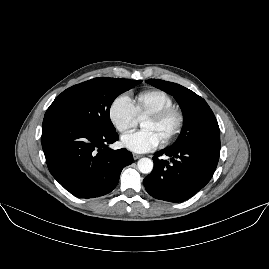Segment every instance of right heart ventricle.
I'll use <instances>...</instances> for the list:
<instances>
[{"instance_id": "e07e8e85", "label": "right heart ventricle", "mask_w": 269, "mask_h": 269, "mask_svg": "<svg viewBox=\"0 0 269 269\" xmlns=\"http://www.w3.org/2000/svg\"><path fill=\"white\" fill-rule=\"evenodd\" d=\"M133 105L138 119H141L155 110L173 106L174 101L167 92L155 89L139 94Z\"/></svg>"}]
</instances>
